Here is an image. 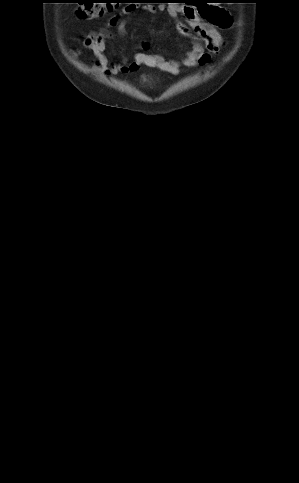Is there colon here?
I'll return each instance as SVG.
<instances>
[{
  "instance_id": "colon-1",
  "label": "colon",
  "mask_w": 299,
  "mask_h": 483,
  "mask_svg": "<svg viewBox=\"0 0 299 483\" xmlns=\"http://www.w3.org/2000/svg\"><path fill=\"white\" fill-rule=\"evenodd\" d=\"M79 7L76 9V15L83 19H98L113 9L117 3L114 0H81ZM206 3L199 4V10L202 17H205L204 7Z\"/></svg>"
}]
</instances>
